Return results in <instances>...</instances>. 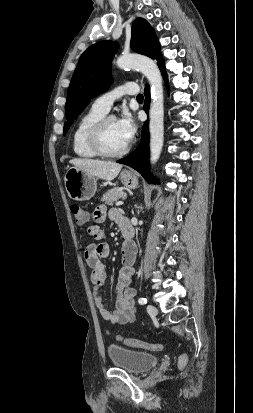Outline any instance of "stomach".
<instances>
[{
	"instance_id": "obj_1",
	"label": "stomach",
	"mask_w": 253,
	"mask_h": 413,
	"mask_svg": "<svg viewBox=\"0 0 253 413\" xmlns=\"http://www.w3.org/2000/svg\"><path fill=\"white\" fill-rule=\"evenodd\" d=\"M119 178L126 188L134 189L138 186L136 175L130 171H123ZM64 181L66 192L72 200H89L97 190L96 177L77 167L67 169Z\"/></svg>"
}]
</instances>
